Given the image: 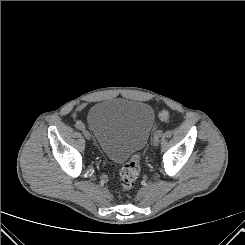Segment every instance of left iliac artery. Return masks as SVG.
<instances>
[{
  "label": "left iliac artery",
  "mask_w": 245,
  "mask_h": 245,
  "mask_svg": "<svg viewBox=\"0 0 245 245\" xmlns=\"http://www.w3.org/2000/svg\"><path fill=\"white\" fill-rule=\"evenodd\" d=\"M162 133H163L162 130H157V131H155L154 136L160 137L162 135Z\"/></svg>",
  "instance_id": "left-iliac-artery-1"
}]
</instances>
